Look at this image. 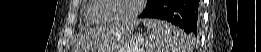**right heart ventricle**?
Here are the masks:
<instances>
[{"instance_id":"1","label":"right heart ventricle","mask_w":261,"mask_h":52,"mask_svg":"<svg viewBox=\"0 0 261 52\" xmlns=\"http://www.w3.org/2000/svg\"><path fill=\"white\" fill-rule=\"evenodd\" d=\"M102 8L101 0H89L85 8V18L92 24H108L101 16L100 10Z\"/></svg>"}]
</instances>
